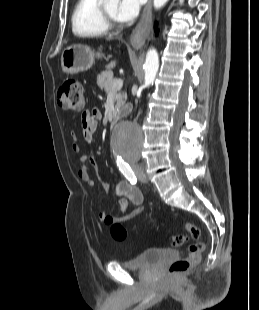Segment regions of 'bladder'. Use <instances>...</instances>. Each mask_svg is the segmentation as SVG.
<instances>
[{"mask_svg":"<svg viewBox=\"0 0 259 310\" xmlns=\"http://www.w3.org/2000/svg\"><path fill=\"white\" fill-rule=\"evenodd\" d=\"M177 255L176 251L170 249H147L121 264L126 269H148L163 261L175 259Z\"/></svg>","mask_w":259,"mask_h":310,"instance_id":"obj_1","label":"bladder"}]
</instances>
